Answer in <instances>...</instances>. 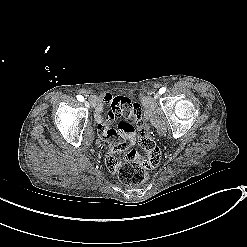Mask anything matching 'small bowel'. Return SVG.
Returning <instances> with one entry per match:
<instances>
[{"label":"small bowel","instance_id":"c3829d8e","mask_svg":"<svg viewBox=\"0 0 247 247\" xmlns=\"http://www.w3.org/2000/svg\"><path fill=\"white\" fill-rule=\"evenodd\" d=\"M109 106L110 109L108 111V119H105L103 116L104 110L102 106ZM133 105V102L131 99L127 97H123L120 95H111L106 94L102 96L98 101V106L94 108L93 113L95 115L96 121L104 125L108 120L112 121L115 118L121 117V107L125 109L131 108ZM134 111L136 113H141L143 111V106L141 104H136L134 106ZM135 120V119H133ZM117 130L119 132H117ZM110 128V129H100L97 130V133H100V136L102 139H113V141H121L123 139V136L127 140V143L122 142L120 144H114L112 146V149L114 151H121L127 147V145H130L133 142L134 138V127L133 125L128 121H121L118 125V129ZM105 160L107 162L106 167L107 169L115 173L118 171L119 166L115 162L116 157L113 154V151H110L109 154L106 155Z\"/></svg>","mask_w":247,"mask_h":247}]
</instances>
